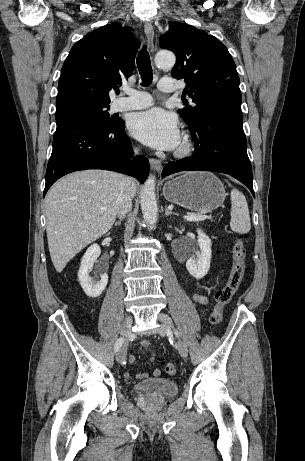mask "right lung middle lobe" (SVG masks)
I'll return each mask as SVG.
<instances>
[{
	"mask_svg": "<svg viewBox=\"0 0 305 461\" xmlns=\"http://www.w3.org/2000/svg\"><path fill=\"white\" fill-rule=\"evenodd\" d=\"M109 103H79L62 106L56 109V120L62 117H76L90 123L108 126L118 119L110 118Z\"/></svg>",
	"mask_w": 305,
	"mask_h": 461,
	"instance_id": "right-lung-middle-lobe-1",
	"label": "right lung middle lobe"
}]
</instances>
